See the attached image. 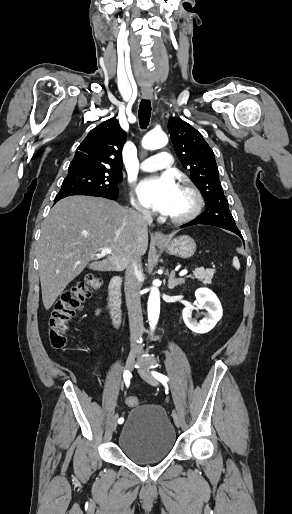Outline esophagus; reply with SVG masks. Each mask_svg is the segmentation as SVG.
Listing matches in <instances>:
<instances>
[{
  "instance_id": "esophagus-1",
  "label": "esophagus",
  "mask_w": 292,
  "mask_h": 514,
  "mask_svg": "<svg viewBox=\"0 0 292 514\" xmlns=\"http://www.w3.org/2000/svg\"><path fill=\"white\" fill-rule=\"evenodd\" d=\"M142 91V96L144 99H148V100H152L153 98V90L150 89V90H141ZM154 241L155 242H158V243H163L165 241V236L163 234V232L161 231H156L154 233Z\"/></svg>"
}]
</instances>
